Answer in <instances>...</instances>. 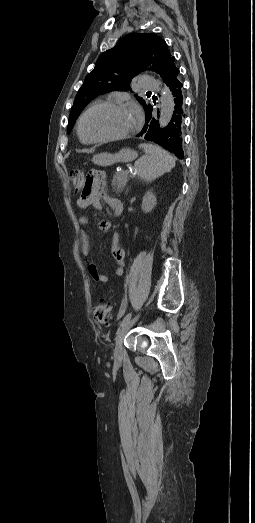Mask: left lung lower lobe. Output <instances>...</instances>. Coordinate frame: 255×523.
<instances>
[{"label":"left lung lower lobe","mask_w":255,"mask_h":523,"mask_svg":"<svg viewBox=\"0 0 255 523\" xmlns=\"http://www.w3.org/2000/svg\"><path fill=\"white\" fill-rule=\"evenodd\" d=\"M167 93L170 91L173 93V102L174 113L172 120L168 121L166 128H158L159 118L155 115V111H150L149 117L147 118L148 125H145L139 131V137H142V140H151V142L158 146L160 145L163 148H168V151L178 158V161L184 162L186 157L184 156L183 151V135L182 132L183 126L182 121L184 119L183 107L185 103L184 92H180L181 88L185 86V81L180 80V77L174 76L172 80L167 82ZM146 111V110H145Z\"/></svg>","instance_id":"obj_1"}]
</instances>
